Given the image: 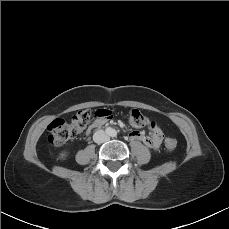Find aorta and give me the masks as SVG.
I'll return each mask as SVG.
<instances>
[{
	"instance_id": "obj_1",
	"label": "aorta",
	"mask_w": 229,
	"mask_h": 229,
	"mask_svg": "<svg viewBox=\"0 0 229 229\" xmlns=\"http://www.w3.org/2000/svg\"><path fill=\"white\" fill-rule=\"evenodd\" d=\"M116 134H117V132L115 129H113V128L108 129V135L109 136L114 137V136H116Z\"/></svg>"
}]
</instances>
